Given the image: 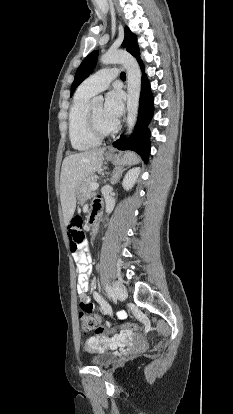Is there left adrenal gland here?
<instances>
[{"label":"left adrenal gland","instance_id":"a2214340","mask_svg":"<svg viewBox=\"0 0 233 414\" xmlns=\"http://www.w3.org/2000/svg\"><path fill=\"white\" fill-rule=\"evenodd\" d=\"M126 170L123 166L115 167L112 176H111V184L115 185L122 176V173Z\"/></svg>","mask_w":233,"mask_h":414}]
</instances>
